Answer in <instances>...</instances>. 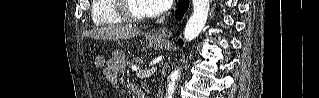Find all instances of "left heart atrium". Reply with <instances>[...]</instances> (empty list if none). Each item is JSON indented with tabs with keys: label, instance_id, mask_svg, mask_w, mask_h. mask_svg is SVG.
<instances>
[{
	"label": "left heart atrium",
	"instance_id": "1",
	"mask_svg": "<svg viewBox=\"0 0 319 98\" xmlns=\"http://www.w3.org/2000/svg\"><path fill=\"white\" fill-rule=\"evenodd\" d=\"M145 8L152 14H162L169 10L173 1L172 0H142Z\"/></svg>",
	"mask_w": 319,
	"mask_h": 98
}]
</instances>
